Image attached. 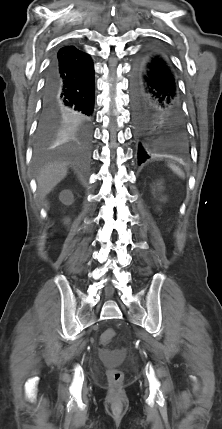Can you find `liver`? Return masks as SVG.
Returning a JSON list of instances; mask_svg holds the SVG:
<instances>
[{"instance_id":"liver-1","label":"liver","mask_w":222,"mask_h":429,"mask_svg":"<svg viewBox=\"0 0 222 429\" xmlns=\"http://www.w3.org/2000/svg\"><path fill=\"white\" fill-rule=\"evenodd\" d=\"M67 172L68 168L65 162L48 163L41 168L37 176L39 196L45 198L66 177Z\"/></svg>"}]
</instances>
